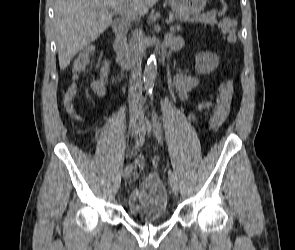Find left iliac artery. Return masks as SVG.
I'll list each match as a JSON object with an SVG mask.
<instances>
[{
	"label": "left iliac artery",
	"mask_w": 295,
	"mask_h": 250,
	"mask_svg": "<svg viewBox=\"0 0 295 250\" xmlns=\"http://www.w3.org/2000/svg\"><path fill=\"white\" fill-rule=\"evenodd\" d=\"M152 125L154 128V134L156 136V139L158 140V142L161 145H163L162 127H161V123H160L158 114L156 113L155 110H153V112H152ZM168 176H169L170 185H173V184L176 185V178H175L174 173L171 171V169H169V171H168Z\"/></svg>",
	"instance_id": "obj_1"
}]
</instances>
